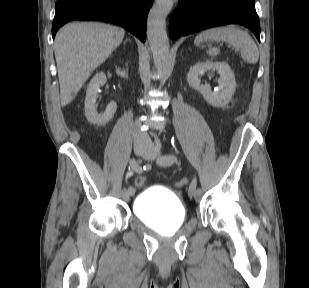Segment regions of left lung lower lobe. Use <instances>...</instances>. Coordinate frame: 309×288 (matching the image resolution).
Here are the masks:
<instances>
[{"label": "left lung lower lobe", "instance_id": "0a47b994", "mask_svg": "<svg viewBox=\"0 0 309 288\" xmlns=\"http://www.w3.org/2000/svg\"><path fill=\"white\" fill-rule=\"evenodd\" d=\"M225 24L246 26L260 41L254 0H181L171 18L170 37L176 39Z\"/></svg>", "mask_w": 309, "mask_h": 288}]
</instances>
